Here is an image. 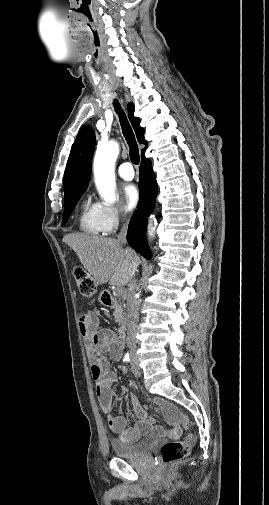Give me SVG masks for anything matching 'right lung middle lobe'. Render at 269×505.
<instances>
[{"instance_id": "right-lung-middle-lobe-1", "label": "right lung middle lobe", "mask_w": 269, "mask_h": 505, "mask_svg": "<svg viewBox=\"0 0 269 505\" xmlns=\"http://www.w3.org/2000/svg\"><path fill=\"white\" fill-rule=\"evenodd\" d=\"M85 191H82L78 194H75L73 196H71L70 198L66 199L64 201V213H63V222H62V225L66 224V222L68 221L69 219V216L70 214L72 213L73 209L75 208L76 206V202L80 199L81 195L84 193Z\"/></svg>"}]
</instances>
